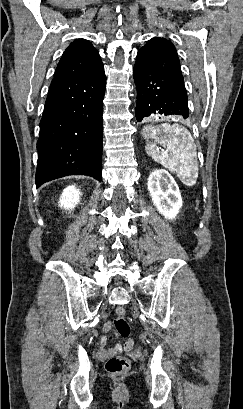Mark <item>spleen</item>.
I'll use <instances>...</instances> for the list:
<instances>
[{
	"mask_svg": "<svg viewBox=\"0 0 243 409\" xmlns=\"http://www.w3.org/2000/svg\"><path fill=\"white\" fill-rule=\"evenodd\" d=\"M164 136L155 137V141L167 152L159 151L155 143L146 144V152L156 162L176 173L177 177L187 186H193L198 178L196 149L190 132L181 125L163 123L159 126Z\"/></svg>",
	"mask_w": 243,
	"mask_h": 409,
	"instance_id": "3e777b00",
	"label": "spleen"
}]
</instances>
